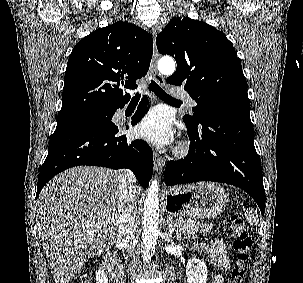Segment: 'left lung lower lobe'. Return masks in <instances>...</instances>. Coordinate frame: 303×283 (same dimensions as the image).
<instances>
[{"label": "left lung lower lobe", "mask_w": 303, "mask_h": 283, "mask_svg": "<svg viewBox=\"0 0 303 283\" xmlns=\"http://www.w3.org/2000/svg\"><path fill=\"white\" fill-rule=\"evenodd\" d=\"M184 122L191 140L189 153L167 163L166 185L198 181L235 185L246 191L264 214L262 167L250 114L208 110L199 125Z\"/></svg>", "instance_id": "0a47b994"}]
</instances>
